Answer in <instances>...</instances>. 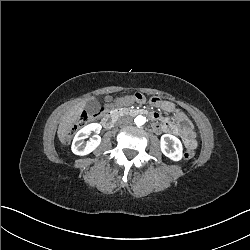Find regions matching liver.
Returning a JSON list of instances; mask_svg holds the SVG:
<instances>
[{"mask_svg": "<svg viewBox=\"0 0 250 250\" xmlns=\"http://www.w3.org/2000/svg\"><path fill=\"white\" fill-rule=\"evenodd\" d=\"M86 101H81L73 106L69 111L63 116L59 127H58V137L62 144L66 143V138L71 130V127L80 115L85 107Z\"/></svg>", "mask_w": 250, "mask_h": 250, "instance_id": "1", "label": "liver"}]
</instances>
